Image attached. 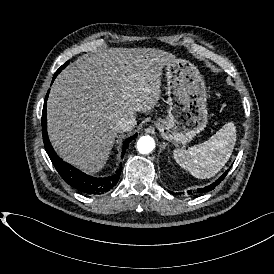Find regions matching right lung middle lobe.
Segmentation results:
<instances>
[{"mask_svg":"<svg viewBox=\"0 0 274 274\" xmlns=\"http://www.w3.org/2000/svg\"><path fill=\"white\" fill-rule=\"evenodd\" d=\"M69 61H67L64 65H62L57 71L58 73L61 72L62 69H64L65 66H67Z\"/></svg>","mask_w":274,"mask_h":274,"instance_id":"obj_1","label":"right lung middle lobe"}]
</instances>
